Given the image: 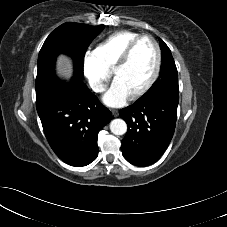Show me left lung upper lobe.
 <instances>
[{
	"instance_id": "left-lung-upper-lobe-1",
	"label": "left lung upper lobe",
	"mask_w": 227,
	"mask_h": 227,
	"mask_svg": "<svg viewBox=\"0 0 227 227\" xmlns=\"http://www.w3.org/2000/svg\"><path fill=\"white\" fill-rule=\"evenodd\" d=\"M162 64L160 75L151 88L142 95L138 101L157 94L169 95L179 98L177 68L168 46L160 39Z\"/></svg>"
}]
</instances>
